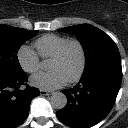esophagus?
Segmentation results:
<instances>
[{
    "instance_id": "esophagus-1",
    "label": "esophagus",
    "mask_w": 128,
    "mask_h": 128,
    "mask_svg": "<svg viewBox=\"0 0 128 128\" xmlns=\"http://www.w3.org/2000/svg\"><path fill=\"white\" fill-rule=\"evenodd\" d=\"M51 91H46V90H43V89H40V95H51Z\"/></svg>"
}]
</instances>
